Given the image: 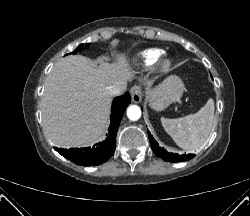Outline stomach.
I'll use <instances>...</instances> for the list:
<instances>
[{
  "instance_id": "stomach-1",
  "label": "stomach",
  "mask_w": 250,
  "mask_h": 216,
  "mask_svg": "<svg viewBox=\"0 0 250 216\" xmlns=\"http://www.w3.org/2000/svg\"><path fill=\"white\" fill-rule=\"evenodd\" d=\"M184 90L182 80L176 75H170L156 87L147 88V99L151 108L161 111L179 101Z\"/></svg>"
}]
</instances>
